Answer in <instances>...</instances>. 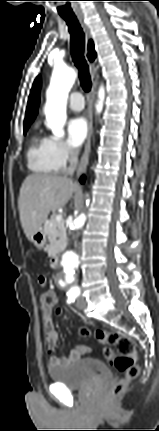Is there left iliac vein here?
Masks as SVG:
<instances>
[{
  "mask_svg": "<svg viewBox=\"0 0 159 431\" xmlns=\"http://www.w3.org/2000/svg\"><path fill=\"white\" fill-rule=\"evenodd\" d=\"M85 306H86V301H85L83 296H80L76 301V307L79 310H82V309H84Z\"/></svg>",
  "mask_w": 159,
  "mask_h": 431,
  "instance_id": "1",
  "label": "left iliac vein"
}]
</instances>
